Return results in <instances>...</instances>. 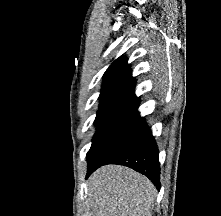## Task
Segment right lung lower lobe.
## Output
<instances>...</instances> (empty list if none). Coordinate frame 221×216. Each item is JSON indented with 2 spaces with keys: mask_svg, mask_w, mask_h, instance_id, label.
Here are the masks:
<instances>
[{
  "mask_svg": "<svg viewBox=\"0 0 221 216\" xmlns=\"http://www.w3.org/2000/svg\"><path fill=\"white\" fill-rule=\"evenodd\" d=\"M106 164L128 166L147 176L157 189H160L159 151L149 128L138 140L114 154L106 162L88 166L86 178Z\"/></svg>",
  "mask_w": 221,
  "mask_h": 216,
  "instance_id": "right-lung-lower-lobe-1",
  "label": "right lung lower lobe"
}]
</instances>
